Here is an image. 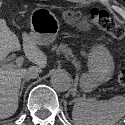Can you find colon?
I'll return each instance as SVG.
<instances>
[{
  "mask_svg": "<svg viewBox=\"0 0 125 125\" xmlns=\"http://www.w3.org/2000/svg\"><path fill=\"white\" fill-rule=\"evenodd\" d=\"M87 18L114 39H125V27L117 23L106 10L91 9L87 14ZM118 82L121 86L125 87V69L120 72Z\"/></svg>",
  "mask_w": 125,
  "mask_h": 125,
  "instance_id": "obj_1",
  "label": "colon"
}]
</instances>
